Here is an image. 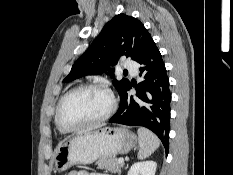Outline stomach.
I'll list each match as a JSON object with an SVG mask.
<instances>
[{
  "instance_id": "0dacf381",
  "label": "stomach",
  "mask_w": 233,
  "mask_h": 175,
  "mask_svg": "<svg viewBox=\"0 0 233 175\" xmlns=\"http://www.w3.org/2000/svg\"><path fill=\"white\" fill-rule=\"evenodd\" d=\"M136 143V135L125 127H103L77 134L56 148L55 168L65 171L76 164L114 158L118 154L128 153Z\"/></svg>"
}]
</instances>
